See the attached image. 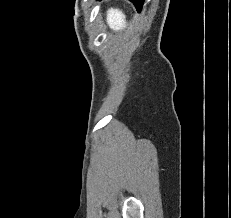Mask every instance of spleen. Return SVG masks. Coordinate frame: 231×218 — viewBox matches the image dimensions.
Segmentation results:
<instances>
[{
	"mask_svg": "<svg viewBox=\"0 0 231 218\" xmlns=\"http://www.w3.org/2000/svg\"><path fill=\"white\" fill-rule=\"evenodd\" d=\"M107 23L114 31L122 30L126 27L125 15L118 9H109L107 11Z\"/></svg>",
	"mask_w": 231,
	"mask_h": 218,
	"instance_id": "1",
	"label": "spleen"
}]
</instances>
